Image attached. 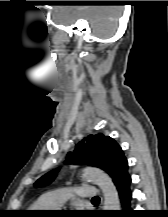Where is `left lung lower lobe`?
<instances>
[{
  "label": "left lung lower lobe",
  "instance_id": "1",
  "mask_svg": "<svg viewBox=\"0 0 168 217\" xmlns=\"http://www.w3.org/2000/svg\"><path fill=\"white\" fill-rule=\"evenodd\" d=\"M128 164L125 166V172L121 178V180L116 184L117 192L120 197V201L122 203V207L124 208L119 213L120 216L129 215L131 214L130 203L132 199V192L130 190L131 184V177L129 176L128 172Z\"/></svg>",
  "mask_w": 168,
  "mask_h": 217
}]
</instances>
